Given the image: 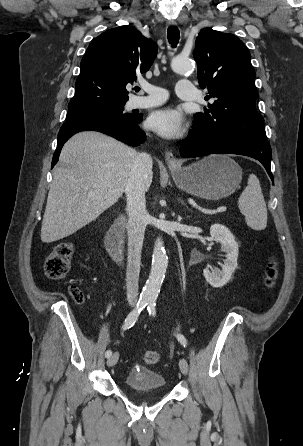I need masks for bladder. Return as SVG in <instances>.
Instances as JSON below:
<instances>
[{"label":"bladder","instance_id":"31cf9c89","mask_svg":"<svg viewBox=\"0 0 303 446\" xmlns=\"http://www.w3.org/2000/svg\"><path fill=\"white\" fill-rule=\"evenodd\" d=\"M124 382L133 391H160L166 386V379L161 373L141 366L133 367Z\"/></svg>","mask_w":303,"mask_h":446}]
</instances>
